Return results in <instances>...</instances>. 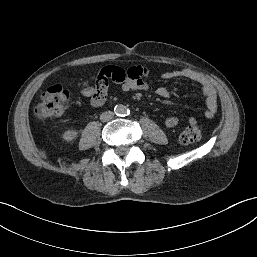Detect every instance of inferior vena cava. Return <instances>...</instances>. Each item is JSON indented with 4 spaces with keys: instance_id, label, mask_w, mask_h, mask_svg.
<instances>
[{
    "instance_id": "inferior-vena-cava-1",
    "label": "inferior vena cava",
    "mask_w": 257,
    "mask_h": 257,
    "mask_svg": "<svg viewBox=\"0 0 257 257\" xmlns=\"http://www.w3.org/2000/svg\"><path fill=\"white\" fill-rule=\"evenodd\" d=\"M114 116V113L111 112V111H106V112H103L101 115H100V120L102 122H106V121H109L113 118Z\"/></svg>"
}]
</instances>
